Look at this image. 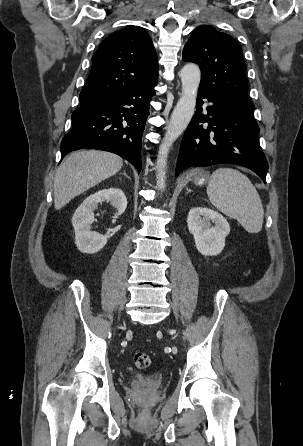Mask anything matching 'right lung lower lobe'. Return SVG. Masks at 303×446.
I'll list each match as a JSON object with an SVG mask.
<instances>
[{
    "mask_svg": "<svg viewBox=\"0 0 303 446\" xmlns=\"http://www.w3.org/2000/svg\"><path fill=\"white\" fill-rule=\"evenodd\" d=\"M156 81L81 104L61 142L62 158L91 148L115 153L141 170V141Z\"/></svg>",
    "mask_w": 303,
    "mask_h": 446,
    "instance_id": "right-lung-lower-lobe-1",
    "label": "right lung lower lobe"
}]
</instances>
